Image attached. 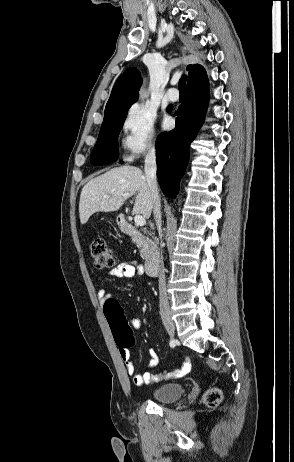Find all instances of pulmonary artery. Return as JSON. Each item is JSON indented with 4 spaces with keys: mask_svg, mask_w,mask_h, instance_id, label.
I'll return each mask as SVG.
<instances>
[{
    "mask_svg": "<svg viewBox=\"0 0 294 462\" xmlns=\"http://www.w3.org/2000/svg\"><path fill=\"white\" fill-rule=\"evenodd\" d=\"M175 84H176V81H172V83H171L172 87L170 89H168V91H167V98L171 102H176L179 99V92L174 87Z\"/></svg>",
    "mask_w": 294,
    "mask_h": 462,
    "instance_id": "obj_1",
    "label": "pulmonary artery"
}]
</instances>
